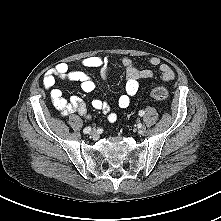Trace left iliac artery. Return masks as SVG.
<instances>
[{
	"mask_svg": "<svg viewBox=\"0 0 221 221\" xmlns=\"http://www.w3.org/2000/svg\"><path fill=\"white\" fill-rule=\"evenodd\" d=\"M139 115L143 116L144 115V111L143 110L139 111Z\"/></svg>",
	"mask_w": 221,
	"mask_h": 221,
	"instance_id": "1",
	"label": "left iliac artery"
}]
</instances>
